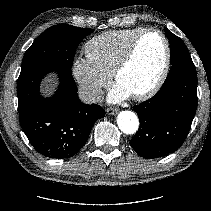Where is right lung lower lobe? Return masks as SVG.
Returning <instances> with one entry per match:
<instances>
[{
  "label": "right lung lower lobe",
  "mask_w": 211,
  "mask_h": 211,
  "mask_svg": "<svg viewBox=\"0 0 211 211\" xmlns=\"http://www.w3.org/2000/svg\"><path fill=\"white\" fill-rule=\"evenodd\" d=\"M55 71L60 84L55 95H40L41 79ZM71 72L43 65L20 74L17 96L20 125L36 151L49 158L75 155L86 143L94 122L105 116L96 104L80 101Z\"/></svg>",
  "instance_id": "98d812e1"
}]
</instances>
